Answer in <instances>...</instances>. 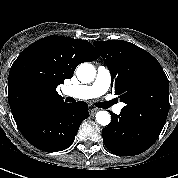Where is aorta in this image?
<instances>
[{"label": "aorta", "mask_w": 178, "mask_h": 178, "mask_svg": "<svg viewBox=\"0 0 178 178\" xmlns=\"http://www.w3.org/2000/svg\"><path fill=\"white\" fill-rule=\"evenodd\" d=\"M76 75L82 83H90L96 76V69L90 63H82L76 69ZM96 121L102 126H107L111 121L109 112L101 110L96 113Z\"/></svg>", "instance_id": "aorta-1"}]
</instances>
